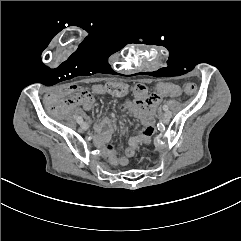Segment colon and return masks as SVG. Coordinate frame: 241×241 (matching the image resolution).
<instances>
[{
    "label": "colon",
    "instance_id": "colon-1",
    "mask_svg": "<svg viewBox=\"0 0 241 241\" xmlns=\"http://www.w3.org/2000/svg\"><path fill=\"white\" fill-rule=\"evenodd\" d=\"M126 82L124 79H112L106 87L109 97H120L125 91ZM186 93L193 94L197 90V86L193 83H187L183 86ZM155 91L160 95L172 94L174 92V87L171 84L157 83L155 85Z\"/></svg>",
    "mask_w": 241,
    "mask_h": 241
}]
</instances>
